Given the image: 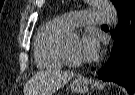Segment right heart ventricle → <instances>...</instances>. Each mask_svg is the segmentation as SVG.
Returning a JSON list of instances; mask_svg holds the SVG:
<instances>
[{
	"mask_svg": "<svg viewBox=\"0 0 135 95\" xmlns=\"http://www.w3.org/2000/svg\"><path fill=\"white\" fill-rule=\"evenodd\" d=\"M69 29L60 18L51 19L41 26L34 41V58L39 68L64 67L60 48Z\"/></svg>",
	"mask_w": 135,
	"mask_h": 95,
	"instance_id": "obj_1",
	"label": "right heart ventricle"
}]
</instances>
